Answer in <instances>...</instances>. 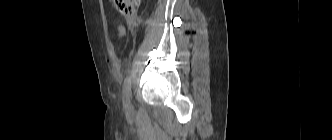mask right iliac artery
Returning a JSON list of instances; mask_svg holds the SVG:
<instances>
[{
  "instance_id": "82829eb1",
  "label": "right iliac artery",
  "mask_w": 332,
  "mask_h": 140,
  "mask_svg": "<svg viewBox=\"0 0 332 140\" xmlns=\"http://www.w3.org/2000/svg\"><path fill=\"white\" fill-rule=\"evenodd\" d=\"M130 85H131V79L127 77L125 79L124 85H123V103L124 108H127L130 101Z\"/></svg>"
}]
</instances>
